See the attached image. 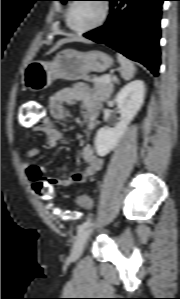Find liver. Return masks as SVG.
Wrapping results in <instances>:
<instances>
[{"label": "liver", "instance_id": "1", "mask_svg": "<svg viewBox=\"0 0 180 299\" xmlns=\"http://www.w3.org/2000/svg\"><path fill=\"white\" fill-rule=\"evenodd\" d=\"M79 39L77 37H74V36H69V37H66V38H63V39H60L56 44L55 46L49 51V53L55 51L56 49H58L60 46H62L63 44H66V43H71V42H75V41H78Z\"/></svg>", "mask_w": 180, "mask_h": 299}]
</instances>
